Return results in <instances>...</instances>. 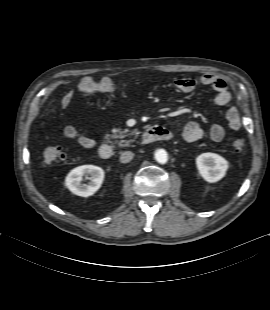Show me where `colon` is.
I'll return each instance as SVG.
<instances>
[{
	"label": "colon",
	"instance_id": "colon-1",
	"mask_svg": "<svg viewBox=\"0 0 270 310\" xmlns=\"http://www.w3.org/2000/svg\"><path fill=\"white\" fill-rule=\"evenodd\" d=\"M117 83L111 79H104L100 83H87L81 86L80 91L83 93H88L92 89H102L105 91L113 89ZM246 141L244 138L238 137L232 140V147L236 152H241L244 150ZM44 157L47 162L52 164H60L68 159V155L65 150L60 146H52L45 150Z\"/></svg>",
	"mask_w": 270,
	"mask_h": 310
}]
</instances>
